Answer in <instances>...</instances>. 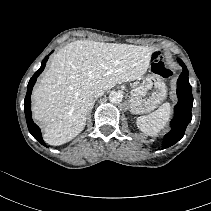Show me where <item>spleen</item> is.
Returning a JSON list of instances; mask_svg holds the SVG:
<instances>
[{
	"label": "spleen",
	"mask_w": 211,
	"mask_h": 211,
	"mask_svg": "<svg viewBox=\"0 0 211 211\" xmlns=\"http://www.w3.org/2000/svg\"><path fill=\"white\" fill-rule=\"evenodd\" d=\"M171 116L170 103H164L156 111L137 118V127L147 135L157 136L164 129Z\"/></svg>",
	"instance_id": "1"
}]
</instances>
